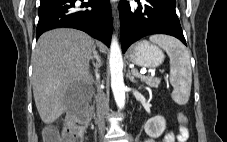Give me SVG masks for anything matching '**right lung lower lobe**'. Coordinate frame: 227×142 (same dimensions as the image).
<instances>
[{
    "label": "right lung lower lobe",
    "mask_w": 227,
    "mask_h": 142,
    "mask_svg": "<svg viewBox=\"0 0 227 142\" xmlns=\"http://www.w3.org/2000/svg\"><path fill=\"white\" fill-rule=\"evenodd\" d=\"M77 1L41 0L36 38L47 30L70 27L82 30L109 46L112 17L108 0H89L81 5ZM85 7L91 8L83 9Z\"/></svg>",
    "instance_id": "1"
}]
</instances>
